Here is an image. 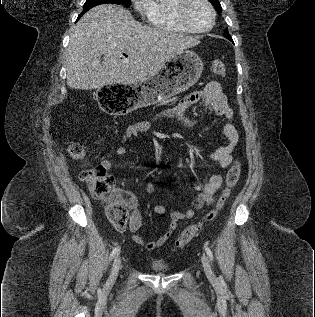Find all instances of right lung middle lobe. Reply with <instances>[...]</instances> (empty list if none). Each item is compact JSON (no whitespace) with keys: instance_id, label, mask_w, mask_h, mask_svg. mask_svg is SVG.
<instances>
[{"instance_id":"right-lung-middle-lobe-1","label":"right lung middle lobe","mask_w":315,"mask_h":317,"mask_svg":"<svg viewBox=\"0 0 315 317\" xmlns=\"http://www.w3.org/2000/svg\"><path fill=\"white\" fill-rule=\"evenodd\" d=\"M106 3L130 6V0H86L83 6V12L80 16H82L85 12H87L89 9L93 8L94 6H97L100 4H106Z\"/></svg>"}]
</instances>
